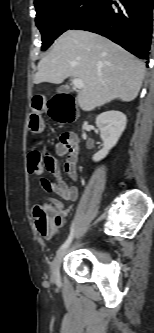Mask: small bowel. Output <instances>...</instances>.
Wrapping results in <instances>:
<instances>
[{"mask_svg":"<svg viewBox=\"0 0 154 333\" xmlns=\"http://www.w3.org/2000/svg\"><path fill=\"white\" fill-rule=\"evenodd\" d=\"M54 150L57 156L64 157L65 159L63 164L64 172L72 181H76L78 178L76 165L79 154L77 136L73 133H63L59 141L55 144ZM43 161L46 170L54 176L55 180L41 179L42 188L65 201L75 202L78 198V188L76 186H69L63 180L57 159L46 152L43 155ZM48 200L56 209L62 211L63 216L68 214V209H65L64 204L60 200L52 197H49Z\"/></svg>","mask_w":154,"mask_h":333,"instance_id":"small-bowel-1","label":"small bowel"}]
</instances>
